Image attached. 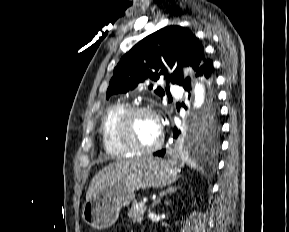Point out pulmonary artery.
Instances as JSON below:
<instances>
[{
  "label": "pulmonary artery",
  "instance_id": "1",
  "mask_svg": "<svg viewBox=\"0 0 289 232\" xmlns=\"http://www.w3.org/2000/svg\"><path fill=\"white\" fill-rule=\"evenodd\" d=\"M171 92L174 95L179 96L182 93V88L180 86H178V85H172L171 86Z\"/></svg>",
  "mask_w": 289,
  "mask_h": 232
}]
</instances>
